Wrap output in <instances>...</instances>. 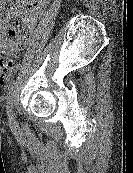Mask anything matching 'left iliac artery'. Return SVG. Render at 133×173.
Wrapping results in <instances>:
<instances>
[{"mask_svg":"<svg viewBox=\"0 0 133 173\" xmlns=\"http://www.w3.org/2000/svg\"><path fill=\"white\" fill-rule=\"evenodd\" d=\"M15 80H12L8 86L7 91V107L9 106L10 102L12 101V97L14 95V89H15Z\"/></svg>","mask_w":133,"mask_h":173,"instance_id":"obj_1","label":"left iliac artery"}]
</instances>
